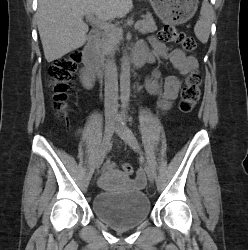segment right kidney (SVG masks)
I'll list each match as a JSON object with an SVG mask.
<instances>
[{
  "label": "right kidney",
  "mask_w": 248,
  "mask_h": 250,
  "mask_svg": "<svg viewBox=\"0 0 248 250\" xmlns=\"http://www.w3.org/2000/svg\"><path fill=\"white\" fill-rule=\"evenodd\" d=\"M80 80L84 88L86 89L93 88L94 82H95L94 75L91 72H89L87 69H83L81 71Z\"/></svg>",
  "instance_id": "obj_1"
}]
</instances>
